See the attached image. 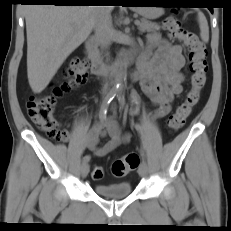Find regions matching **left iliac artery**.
I'll list each match as a JSON object with an SVG mask.
<instances>
[{
    "label": "left iliac artery",
    "instance_id": "44dca946",
    "mask_svg": "<svg viewBox=\"0 0 231 231\" xmlns=\"http://www.w3.org/2000/svg\"><path fill=\"white\" fill-rule=\"evenodd\" d=\"M117 98H118V101H119V104H120V108H123L125 106V98H124V96L122 94V91H119V93L117 95ZM135 127L141 134H143V130L139 125H136ZM142 162H146L144 152H142Z\"/></svg>",
    "mask_w": 231,
    "mask_h": 231
}]
</instances>
